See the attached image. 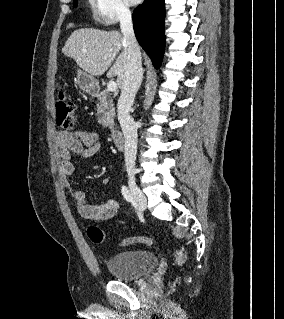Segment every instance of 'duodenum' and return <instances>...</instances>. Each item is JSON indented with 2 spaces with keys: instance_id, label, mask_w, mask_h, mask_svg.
Listing matches in <instances>:
<instances>
[{
  "instance_id": "obj_1",
  "label": "duodenum",
  "mask_w": 284,
  "mask_h": 319,
  "mask_svg": "<svg viewBox=\"0 0 284 319\" xmlns=\"http://www.w3.org/2000/svg\"><path fill=\"white\" fill-rule=\"evenodd\" d=\"M110 132H111V137L113 140L114 145L117 148H123L125 145V137L124 134L122 133V131H120L117 128H110Z\"/></svg>"
}]
</instances>
